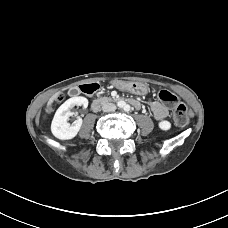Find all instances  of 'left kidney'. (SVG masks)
<instances>
[{"mask_svg":"<svg viewBox=\"0 0 228 228\" xmlns=\"http://www.w3.org/2000/svg\"><path fill=\"white\" fill-rule=\"evenodd\" d=\"M159 128L161 130L167 131L171 128V123L167 120H162L159 122Z\"/></svg>","mask_w":228,"mask_h":228,"instance_id":"5707ae66","label":"left kidney"}]
</instances>
